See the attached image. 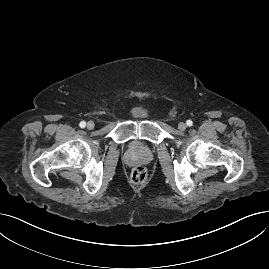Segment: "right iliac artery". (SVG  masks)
Wrapping results in <instances>:
<instances>
[{
	"instance_id": "right-iliac-artery-1",
	"label": "right iliac artery",
	"mask_w": 269,
	"mask_h": 269,
	"mask_svg": "<svg viewBox=\"0 0 269 269\" xmlns=\"http://www.w3.org/2000/svg\"><path fill=\"white\" fill-rule=\"evenodd\" d=\"M79 126L81 128H84L86 126V122L85 121H81L80 124H79Z\"/></svg>"
}]
</instances>
